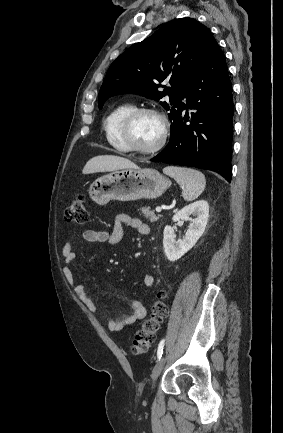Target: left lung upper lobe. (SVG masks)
<instances>
[{
    "mask_svg": "<svg viewBox=\"0 0 283 433\" xmlns=\"http://www.w3.org/2000/svg\"><path fill=\"white\" fill-rule=\"evenodd\" d=\"M215 44L209 29L193 18L166 23L111 64L99 91V109L117 94L135 93L156 101L168 95L171 106L160 104L170 111V121L177 120L186 108L180 101L186 98L189 83ZM159 87L164 90L159 91Z\"/></svg>",
    "mask_w": 283,
    "mask_h": 433,
    "instance_id": "left-lung-upper-lobe-1",
    "label": "left lung upper lobe"
}]
</instances>
